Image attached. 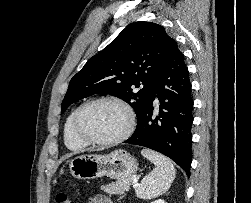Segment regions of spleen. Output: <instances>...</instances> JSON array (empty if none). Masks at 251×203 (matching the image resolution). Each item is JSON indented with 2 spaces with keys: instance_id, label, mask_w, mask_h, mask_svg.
<instances>
[{
  "instance_id": "3e777b00",
  "label": "spleen",
  "mask_w": 251,
  "mask_h": 203,
  "mask_svg": "<svg viewBox=\"0 0 251 203\" xmlns=\"http://www.w3.org/2000/svg\"><path fill=\"white\" fill-rule=\"evenodd\" d=\"M141 154L150 160L155 168L137 186L136 195L144 200L156 198L170 188L175 179L176 170L172 162L158 152L144 148Z\"/></svg>"
}]
</instances>
